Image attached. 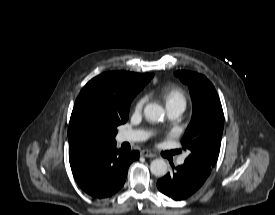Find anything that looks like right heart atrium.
Listing matches in <instances>:
<instances>
[{
  "instance_id": "d8ad5b80",
  "label": "right heart atrium",
  "mask_w": 275,
  "mask_h": 215,
  "mask_svg": "<svg viewBox=\"0 0 275 215\" xmlns=\"http://www.w3.org/2000/svg\"><path fill=\"white\" fill-rule=\"evenodd\" d=\"M146 102H147V97L146 96H141L135 104V108H134L135 111L136 112L142 111V109H143L144 105L146 104Z\"/></svg>"
}]
</instances>
